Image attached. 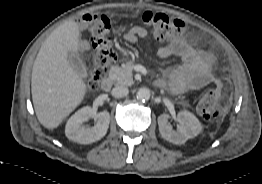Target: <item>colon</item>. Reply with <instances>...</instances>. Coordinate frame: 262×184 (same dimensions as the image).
<instances>
[{
    "label": "colon",
    "instance_id": "obj_1",
    "mask_svg": "<svg viewBox=\"0 0 262 184\" xmlns=\"http://www.w3.org/2000/svg\"><path fill=\"white\" fill-rule=\"evenodd\" d=\"M142 20L159 41H175L186 30L183 21L163 13L147 11L143 14ZM82 22L89 28L94 62L93 70L87 80V89L90 92H95L106 77L109 66L116 60L110 37L111 21L105 15L88 13L82 17ZM221 84L219 81L217 88H209L199 97L197 110L207 120H214L220 116Z\"/></svg>",
    "mask_w": 262,
    "mask_h": 184
}]
</instances>
